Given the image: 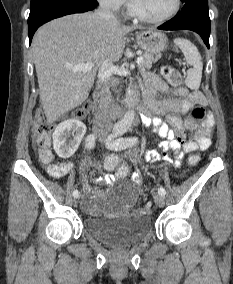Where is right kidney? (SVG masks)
Segmentation results:
<instances>
[{
  "label": "right kidney",
  "instance_id": "right-kidney-1",
  "mask_svg": "<svg viewBox=\"0 0 233 284\" xmlns=\"http://www.w3.org/2000/svg\"><path fill=\"white\" fill-rule=\"evenodd\" d=\"M86 133L84 123L68 119L60 123L53 133V147L61 158H69L78 149Z\"/></svg>",
  "mask_w": 233,
  "mask_h": 284
}]
</instances>
